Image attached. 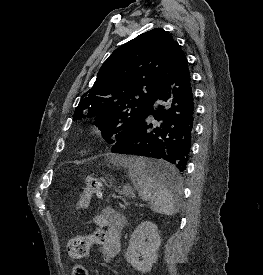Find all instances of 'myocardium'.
Listing matches in <instances>:
<instances>
[{
	"instance_id": "obj_1",
	"label": "myocardium",
	"mask_w": 263,
	"mask_h": 275,
	"mask_svg": "<svg viewBox=\"0 0 263 275\" xmlns=\"http://www.w3.org/2000/svg\"><path fill=\"white\" fill-rule=\"evenodd\" d=\"M94 130L98 135L101 134V129L99 127H94Z\"/></svg>"
}]
</instances>
